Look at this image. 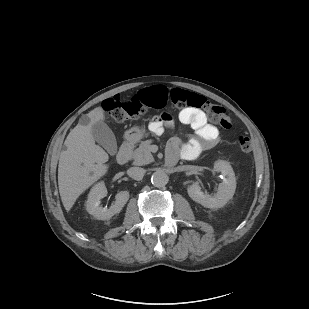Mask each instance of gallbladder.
<instances>
[{"mask_svg":"<svg viewBox=\"0 0 309 309\" xmlns=\"http://www.w3.org/2000/svg\"><path fill=\"white\" fill-rule=\"evenodd\" d=\"M92 135L96 142L111 155L117 153V142L114 133L104 121H98L92 126Z\"/></svg>","mask_w":309,"mask_h":309,"instance_id":"gallbladder-1","label":"gallbladder"}]
</instances>
